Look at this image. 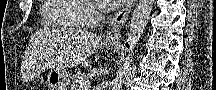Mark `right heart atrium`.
<instances>
[{"instance_id": "right-heart-atrium-1", "label": "right heart atrium", "mask_w": 216, "mask_h": 90, "mask_svg": "<svg viewBox=\"0 0 216 90\" xmlns=\"http://www.w3.org/2000/svg\"><path fill=\"white\" fill-rule=\"evenodd\" d=\"M95 12L93 10H90L86 13V19L87 20H94Z\"/></svg>"}]
</instances>
